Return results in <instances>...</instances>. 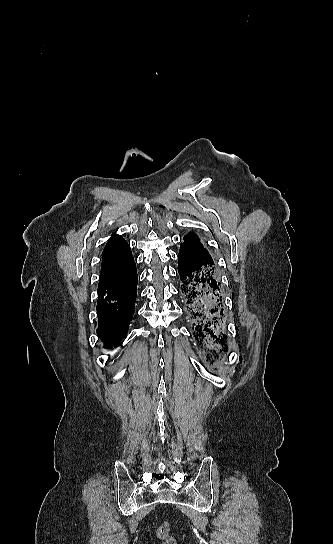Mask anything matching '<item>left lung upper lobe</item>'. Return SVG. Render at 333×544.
<instances>
[{
	"mask_svg": "<svg viewBox=\"0 0 333 544\" xmlns=\"http://www.w3.org/2000/svg\"><path fill=\"white\" fill-rule=\"evenodd\" d=\"M183 240L184 242L181 243V246H187L195 250L205 260L211 262L212 264H215L211 255L209 254L207 249L203 247L198 236L194 232H189L187 235L184 236Z\"/></svg>",
	"mask_w": 333,
	"mask_h": 544,
	"instance_id": "1",
	"label": "left lung upper lobe"
}]
</instances>
